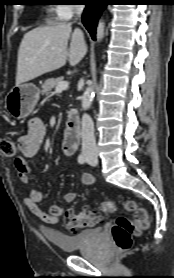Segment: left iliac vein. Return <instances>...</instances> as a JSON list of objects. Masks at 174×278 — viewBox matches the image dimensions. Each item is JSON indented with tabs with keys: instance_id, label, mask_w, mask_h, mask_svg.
I'll return each instance as SVG.
<instances>
[{
	"instance_id": "obj_1",
	"label": "left iliac vein",
	"mask_w": 174,
	"mask_h": 278,
	"mask_svg": "<svg viewBox=\"0 0 174 278\" xmlns=\"http://www.w3.org/2000/svg\"><path fill=\"white\" fill-rule=\"evenodd\" d=\"M87 163L90 164L91 166H96L98 164V159L96 156H88Z\"/></svg>"
}]
</instances>
